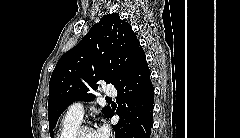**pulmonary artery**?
I'll list each match as a JSON object with an SVG mask.
<instances>
[{"label": "pulmonary artery", "mask_w": 240, "mask_h": 138, "mask_svg": "<svg viewBox=\"0 0 240 138\" xmlns=\"http://www.w3.org/2000/svg\"><path fill=\"white\" fill-rule=\"evenodd\" d=\"M106 96L115 97L117 92L113 86H107L104 89ZM84 115V107L81 102H75L71 104L67 110V116L78 119L82 121Z\"/></svg>", "instance_id": "1"}]
</instances>
